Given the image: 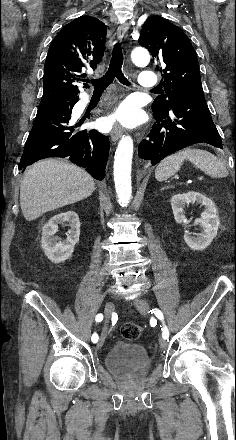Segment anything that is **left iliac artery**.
I'll list each match as a JSON object with an SVG mask.
<instances>
[{
	"instance_id": "obj_1",
	"label": "left iliac artery",
	"mask_w": 236,
	"mask_h": 440,
	"mask_svg": "<svg viewBox=\"0 0 236 440\" xmlns=\"http://www.w3.org/2000/svg\"><path fill=\"white\" fill-rule=\"evenodd\" d=\"M151 312L154 313V314L156 315V317H157L159 320L162 321V323H163L162 337H163L164 339H167V340H168V337H169V331H168V328L166 327V325H165V323H164V316H163V313H162L159 309H157V308L152 309Z\"/></svg>"
}]
</instances>
